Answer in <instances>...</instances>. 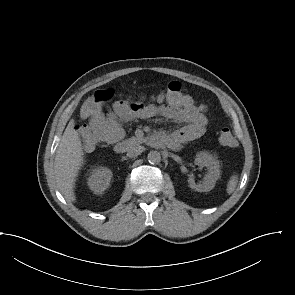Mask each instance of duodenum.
Listing matches in <instances>:
<instances>
[{
	"mask_svg": "<svg viewBox=\"0 0 295 295\" xmlns=\"http://www.w3.org/2000/svg\"><path fill=\"white\" fill-rule=\"evenodd\" d=\"M149 141L154 146H158L163 143L162 137L156 134L151 135ZM127 149H128V146L125 142H117L114 146V150L118 154L125 153Z\"/></svg>",
	"mask_w": 295,
	"mask_h": 295,
	"instance_id": "1",
	"label": "duodenum"
}]
</instances>
